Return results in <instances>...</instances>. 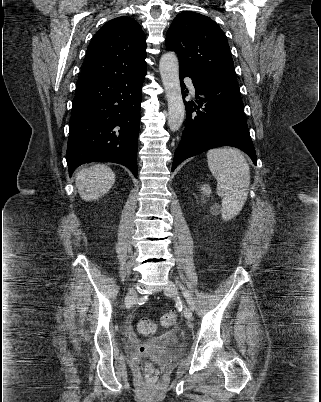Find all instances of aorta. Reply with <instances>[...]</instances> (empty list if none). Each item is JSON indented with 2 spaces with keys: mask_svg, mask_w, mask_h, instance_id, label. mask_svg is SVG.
Instances as JSON below:
<instances>
[{
  "mask_svg": "<svg viewBox=\"0 0 321 402\" xmlns=\"http://www.w3.org/2000/svg\"><path fill=\"white\" fill-rule=\"evenodd\" d=\"M159 71L168 101V126L171 131H177L184 120L185 106L179 80V61L174 52L162 55Z\"/></svg>",
  "mask_w": 321,
  "mask_h": 402,
  "instance_id": "aorta-1",
  "label": "aorta"
}]
</instances>
